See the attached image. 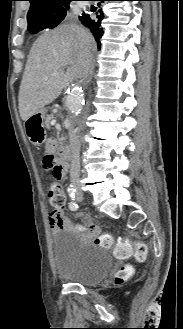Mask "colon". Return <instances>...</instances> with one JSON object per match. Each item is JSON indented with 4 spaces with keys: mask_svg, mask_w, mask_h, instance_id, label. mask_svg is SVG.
<instances>
[{
    "mask_svg": "<svg viewBox=\"0 0 183 329\" xmlns=\"http://www.w3.org/2000/svg\"><path fill=\"white\" fill-rule=\"evenodd\" d=\"M42 167L45 173L52 179L49 186V199L55 210L60 211L66 202L64 190L61 184L63 168L56 162L54 155L46 154L42 159ZM95 243L103 247H114L115 253L119 256H127L131 253L139 261H143L147 255V247L142 243L131 245L128 242H115L108 235H101L95 238ZM131 275V268L122 267L115 276V282L120 284Z\"/></svg>",
    "mask_w": 183,
    "mask_h": 329,
    "instance_id": "colon-1",
    "label": "colon"
}]
</instances>
